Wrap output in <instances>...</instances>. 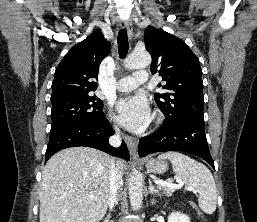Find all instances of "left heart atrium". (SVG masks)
Wrapping results in <instances>:
<instances>
[{"label": "left heart atrium", "instance_id": "obj_1", "mask_svg": "<svg viewBox=\"0 0 257 222\" xmlns=\"http://www.w3.org/2000/svg\"><path fill=\"white\" fill-rule=\"evenodd\" d=\"M120 122L129 130L141 131L150 120V108L144 95L137 94L122 98L117 103Z\"/></svg>", "mask_w": 257, "mask_h": 222}]
</instances>
